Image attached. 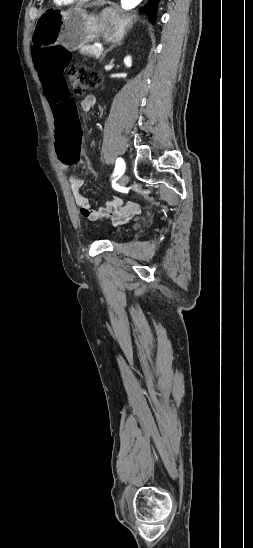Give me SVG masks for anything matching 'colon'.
<instances>
[{
	"label": "colon",
	"instance_id": "1",
	"mask_svg": "<svg viewBox=\"0 0 253 548\" xmlns=\"http://www.w3.org/2000/svg\"><path fill=\"white\" fill-rule=\"evenodd\" d=\"M34 56V69L40 79V95L48 96L47 102L52 108V120L55 121L57 127L56 141L53 143L55 156L62 159L65 166H70L75 161L78 166L84 165L90 175L98 180L100 175L92 162L88 161L86 157L78 159L80 129L77 120L76 99L72 98L66 80L68 54L63 48L56 46L48 49H36ZM69 78L73 92L77 96L84 95L97 83L96 75L81 64L72 66Z\"/></svg>",
	"mask_w": 253,
	"mask_h": 548
}]
</instances>
